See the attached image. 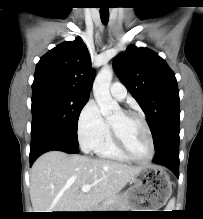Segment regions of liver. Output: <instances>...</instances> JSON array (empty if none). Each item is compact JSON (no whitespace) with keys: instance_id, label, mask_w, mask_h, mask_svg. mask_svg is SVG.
Returning <instances> with one entry per match:
<instances>
[{"instance_id":"1","label":"liver","mask_w":203,"mask_h":219,"mask_svg":"<svg viewBox=\"0 0 203 219\" xmlns=\"http://www.w3.org/2000/svg\"><path fill=\"white\" fill-rule=\"evenodd\" d=\"M142 167L50 151L33 164L30 198L34 212H86L113 198ZM85 184L94 186L84 193Z\"/></svg>"}]
</instances>
